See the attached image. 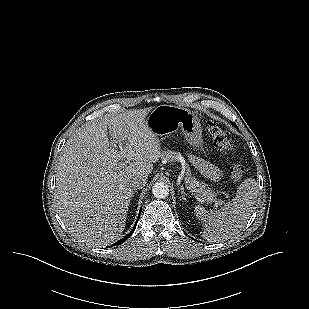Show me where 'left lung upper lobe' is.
Instances as JSON below:
<instances>
[{"label": "left lung upper lobe", "mask_w": 309, "mask_h": 309, "mask_svg": "<svg viewBox=\"0 0 309 309\" xmlns=\"http://www.w3.org/2000/svg\"><path fill=\"white\" fill-rule=\"evenodd\" d=\"M233 126L237 127L235 123H232Z\"/></svg>", "instance_id": "1"}]
</instances>
